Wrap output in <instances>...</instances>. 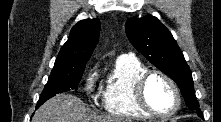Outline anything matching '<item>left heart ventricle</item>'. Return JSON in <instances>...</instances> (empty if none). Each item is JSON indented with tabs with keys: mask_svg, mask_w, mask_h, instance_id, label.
<instances>
[{
	"mask_svg": "<svg viewBox=\"0 0 221 122\" xmlns=\"http://www.w3.org/2000/svg\"><path fill=\"white\" fill-rule=\"evenodd\" d=\"M146 97L149 105L159 113L172 111L176 103L172 88L159 76H153L148 81Z\"/></svg>",
	"mask_w": 221,
	"mask_h": 122,
	"instance_id": "left-heart-ventricle-1",
	"label": "left heart ventricle"
}]
</instances>
